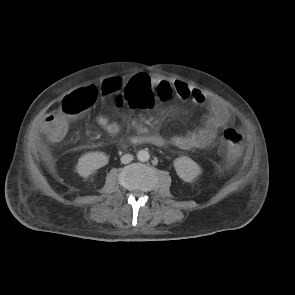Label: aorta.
<instances>
[{
  "label": "aorta",
  "mask_w": 295,
  "mask_h": 295,
  "mask_svg": "<svg viewBox=\"0 0 295 295\" xmlns=\"http://www.w3.org/2000/svg\"><path fill=\"white\" fill-rule=\"evenodd\" d=\"M137 158L139 161L146 162L150 158L149 152L147 150H140L137 153Z\"/></svg>",
  "instance_id": "1"
}]
</instances>
